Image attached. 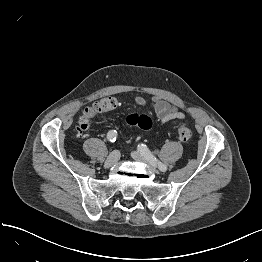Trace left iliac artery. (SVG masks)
<instances>
[{"label": "left iliac artery", "instance_id": "obj_1", "mask_svg": "<svg viewBox=\"0 0 262 262\" xmlns=\"http://www.w3.org/2000/svg\"><path fill=\"white\" fill-rule=\"evenodd\" d=\"M138 150L141 152V154L154 166H158L161 171H166L167 167L159 162L156 157L153 156V154L149 151L146 145L141 144L138 145Z\"/></svg>", "mask_w": 262, "mask_h": 262}]
</instances>
